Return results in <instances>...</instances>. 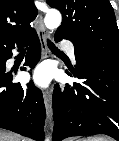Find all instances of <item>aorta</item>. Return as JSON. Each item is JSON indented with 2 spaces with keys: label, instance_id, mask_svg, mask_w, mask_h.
<instances>
[{
  "label": "aorta",
  "instance_id": "1",
  "mask_svg": "<svg viewBox=\"0 0 119 141\" xmlns=\"http://www.w3.org/2000/svg\"><path fill=\"white\" fill-rule=\"evenodd\" d=\"M61 21H62L61 14L59 11L55 9L49 10L46 13L44 19L45 26L50 30L58 28L61 24ZM46 140L48 141V139Z\"/></svg>",
  "mask_w": 119,
  "mask_h": 141
}]
</instances>
